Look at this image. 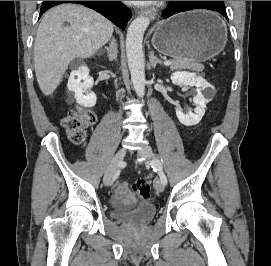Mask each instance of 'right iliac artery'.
I'll list each match as a JSON object with an SVG mask.
<instances>
[{"label": "right iliac artery", "mask_w": 271, "mask_h": 266, "mask_svg": "<svg viewBox=\"0 0 271 266\" xmlns=\"http://www.w3.org/2000/svg\"><path fill=\"white\" fill-rule=\"evenodd\" d=\"M119 174H120V169L117 170V171L114 173V175H113V180L117 179L118 176H119Z\"/></svg>", "instance_id": "obj_1"}]
</instances>
